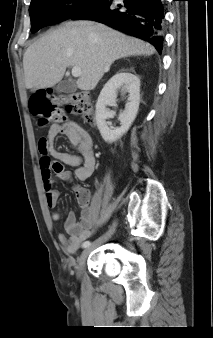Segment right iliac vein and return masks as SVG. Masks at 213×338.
I'll return each instance as SVG.
<instances>
[{
    "instance_id": "63e3f726",
    "label": "right iliac vein",
    "mask_w": 213,
    "mask_h": 338,
    "mask_svg": "<svg viewBox=\"0 0 213 338\" xmlns=\"http://www.w3.org/2000/svg\"><path fill=\"white\" fill-rule=\"evenodd\" d=\"M115 227H116V223L113 222L112 225H111V227L108 229V231L104 235H102L101 237H99L92 246L86 248L82 252L81 256L78 259V263H77V266H76V272H77V276L78 277H80L81 274H82V270H83L84 264L86 262V259H87L88 255L90 254V252L93 249H95L96 247H98L101 244H103L104 242H106L111 237V235L113 234V232L115 231Z\"/></svg>"
}]
</instances>
